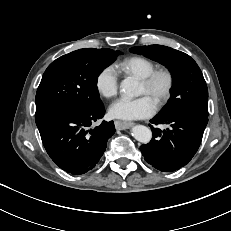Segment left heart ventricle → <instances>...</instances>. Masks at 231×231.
I'll use <instances>...</instances> for the list:
<instances>
[{"mask_svg":"<svg viewBox=\"0 0 231 231\" xmlns=\"http://www.w3.org/2000/svg\"><path fill=\"white\" fill-rule=\"evenodd\" d=\"M160 88V87H159ZM140 93H145V94H147L154 102H155V94H148L147 92H146V89H145V87H144V85L141 83V85H140Z\"/></svg>","mask_w":231,"mask_h":231,"instance_id":"1","label":"left heart ventricle"}]
</instances>
